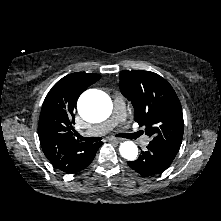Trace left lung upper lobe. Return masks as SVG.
Returning <instances> with one entry per match:
<instances>
[{"mask_svg": "<svg viewBox=\"0 0 221 221\" xmlns=\"http://www.w3.org/2000/svg\"><path fill=\"white\" fill-rule=\"evenodd\" d=\"M121 93L131 101L135 121L146 126L151 143L179 151L183 137V114L172 86L160 75L143 71L120 72Z\"/></svg>", "mask_w": 221, "mask_h": 221, "instance_id": "5c2ea615", "label": "left lung upper lobe"}]
</instances>
